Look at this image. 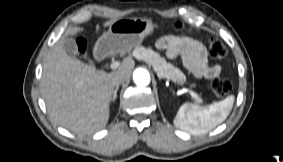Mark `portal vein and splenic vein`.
I'll use <instances>...</instances> for the list:
<instances>
[{"instance_id":"1","label":"portal vein and splenic vein","mask_w":283,"mask_h":162,"mask_svg":"<svg viewBox=\"0 0 283 162\" xmlns=\"http://www.w3.org/2000/svg\"><path fill=\"white\" fill-rule=\"evenodd\" d=\"M119 66H120V63H119V62H113V63H111L110 68H111L112 70H115V69H117ZM183 91H187V89H186V88H183ZM192 96H193L194 98H197V97H198L197 94H195L194 92H192Z\"/></svg>"}]
</instances>
